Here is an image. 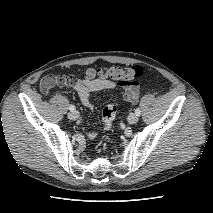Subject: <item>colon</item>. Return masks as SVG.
Instances as JSON below:
<instances>
[{
  "mask_svg": "<svg viewBox=\"0 0 213 213\" xmlns=\"http://www.w3.org/2000/svg\"><path fill=\"white\" fill-rule=\"evenodd\" d=\"M143 70L140 66L121 67L111 66L99 68L96 70H90L88 72L89 77H98L101 79H109L117 82L119 85L125 87L123 97L132 96V89L137 87L138 79L141 77ZM56 80L60 83H71L74 77L71 75L56 76ZM116 98L104 107L101 113V119L104 123V127L107 131L112 128L113 121L116 115Z\"/></svg>",
  "mask_w": 213,
  "mask_h": 213,
  "instance_id": "obj_1",
  "label": "colon"
}]
</instances>
